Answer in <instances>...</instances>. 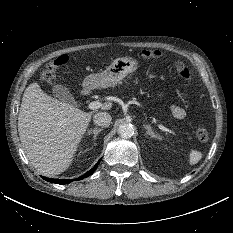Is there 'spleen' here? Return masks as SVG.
<instances>
[{"label": "spleen", "mask_w": 233, "mask_h": 233, "mask_svg": "<svg viewBox=\"0 0 233 233\" xmlns=\"http://www.w3.org/2000/svg\"><path fill=\"white\" fill-rule=\"evenodd\" d=\"M202 158V153L199 151H191L190 155H189V163L190 165H194L196 163H198Z\"/></svg>", "instance_id": "spleen-1"}]
</instances>
